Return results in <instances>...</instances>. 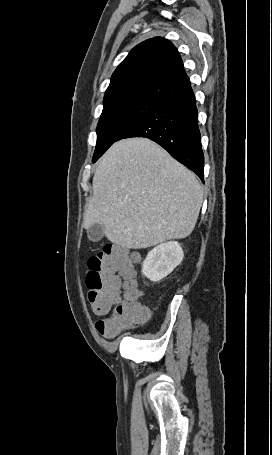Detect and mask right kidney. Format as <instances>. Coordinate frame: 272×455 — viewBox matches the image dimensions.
I'll return each mask as SVG.
<instances>
[{
	"label": "right kidney",
	"mask_w": 272,
	"mask_h": 455,
	"mask_svg": "<svg viewBox=\"0 0 272 455\" xmlns=\"http://www.w3.org/2000/svg\"><path fill=\"white\" fill-rule=\"evenodd\" d=\"M184 253L178 242L162 243L153 248L142 265V274L153 282L169 275L183 260Z\"/></svg>",
	"instance_id": "ca27d5eb"
}]
</instances>
